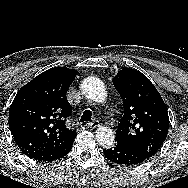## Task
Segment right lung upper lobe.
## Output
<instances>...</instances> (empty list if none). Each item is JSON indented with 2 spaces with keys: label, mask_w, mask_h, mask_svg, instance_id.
<instances>
[{
  "label": "right lung upper lobe",
  "mask_w": 188,
  "mask_h": 188,
  "mask_svg": "<svg viewBox=\"0 0 188 188\" xmlns=\"http://www.w3.org/2000/svg\"><path fill=\"white\" fill-rule=\"evenodd\" d=\"M76 74L75 69L54 67L17 92L9 110V127L25 155L58 147L77 136L65 124L72 108L66 92Z\"/></svg>",
  "instance_id": "obj_1"
}]
</instances>
